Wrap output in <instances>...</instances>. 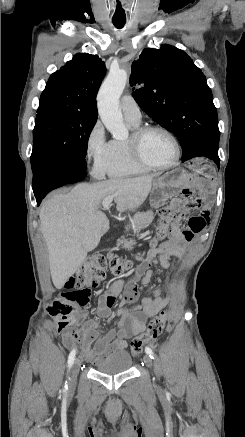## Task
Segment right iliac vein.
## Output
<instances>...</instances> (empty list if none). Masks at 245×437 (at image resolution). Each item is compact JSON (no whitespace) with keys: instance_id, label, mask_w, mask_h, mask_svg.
<instances>
[{"instance_id":"obj_1","label":"right iliac vein","mask_w":245,"mask_h":437,"mask_svg":"<svg viewBox=\"0 0 245 437\" xmlns=\"http://www.w3.org/2000/svg\"><path fill=\"white\" fill-rule=\"evenodd\" d=\"M79 369H80V361H79V359H76L74 364H73V367H72V374H71V385L72 386L76 383Z\"/></svg>"}]
</instances>
